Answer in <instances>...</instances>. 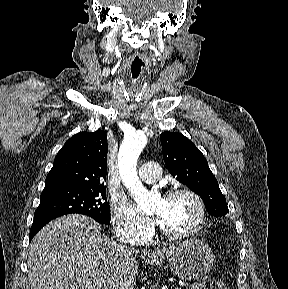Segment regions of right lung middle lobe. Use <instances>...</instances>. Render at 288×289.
<instances>
[{"label":"right lung middle lobe","instance_id":"obj_1","mask_svg":"<svg viewBox=\"0 0 288 289\" xmlns=\"http://www.w3.org/2000/svg\"><path fill=\"white\" fill-rule=\"evenodd\" d=\"M105 201V187L44 189L34 221L78 213L90 216L101 224H108L110 207Z\"/></svg>","mask_w":288,"mask_h":289}]
</instances>
